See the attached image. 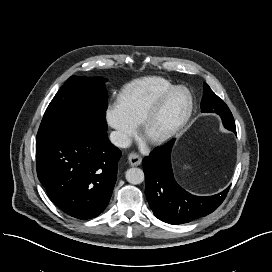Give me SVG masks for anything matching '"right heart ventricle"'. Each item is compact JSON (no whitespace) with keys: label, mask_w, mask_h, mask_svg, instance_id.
<instances>
[{"label":"right heart ventricle","mask_w":272,"mask_h":272,"mask_svg":"<svg viewBox=\"0 0 272 272\" xmlns=\"http://www.w3.org/2000/svg\"><path fill=\"white\" fill-rule=\"evenodd\" d=\"M172 88V83L161 77L136 79L122 90L118 103L128 119L137 126L143 123L150 109Z\"/></svg>","instance_id":"e07e8e85"}]
</instances>
